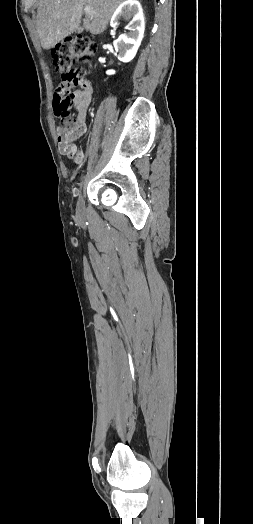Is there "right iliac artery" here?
Segmentation results:
<instances>
[{
	"instance_id": "82829eb1",
	"label": "right iliac artery",
	"mask_w": 253,
	"mask_h": 524,
	"mask_svg": "<svg viewBox=\"0 0 253 524\" xmlns=\"http://www.w3.org/2000/svg\"><path fill=\"white\" fill-rule=\"evenodd\" d=\"M82 189V182L79 183V190L77 191V193L75 194V196H77L79 194V192L81 191Z\"/></svg>"
}]
</instances>
